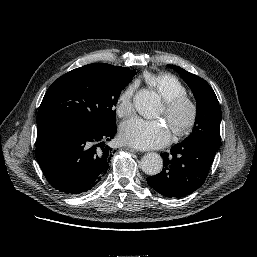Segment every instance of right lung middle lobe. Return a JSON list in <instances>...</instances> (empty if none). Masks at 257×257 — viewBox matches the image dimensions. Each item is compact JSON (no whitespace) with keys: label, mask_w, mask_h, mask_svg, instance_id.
I'll return each mask as SVG.
<instances>
[{"label":"right lung middle lobe","mask_w":257,"mask_h":257,"mask_svg":"<svg viewBox=\"0 0 257 257\" xmlns=\"http://www.w3.org/2000/svg\"><path fill=\"white\" fill-rule=\"evenodd\" d=\"M135 74V70L105 63L85 65L64 74L47 90L37 124L66 118L95 127L115 125L114 107Z\"/></svg>","instance_id":"right-lung-middle-lobe-1"}]
</instances>
